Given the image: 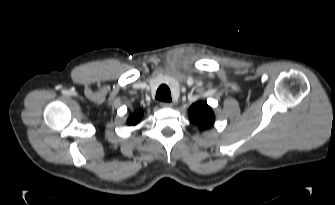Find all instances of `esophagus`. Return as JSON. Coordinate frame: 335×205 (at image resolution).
Masks as SVG:
<instances>
[{"label":"esophagus","instance_id":"esophagus-1","mask_svg":"<svg viewBox=\"0 0 335 205\" xmlns=\"http://www.w3.org/2000/svg\"><path fill=\"white\" fill-rule=\"evenodd\" d=\"M160 106L162 108H171L172 107V103H169V102H161L160 103Z\"/></svg>","mask_w":335,"mask_h":205}]
</instances>
